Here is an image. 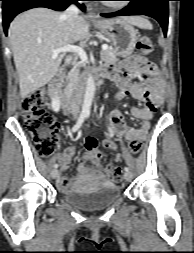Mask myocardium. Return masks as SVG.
Segmentation results:
<instances>
[{"label": "myocardium", "instance_id": "f54148a6", "mask_svg": "<svg viewBox=\"0 0 194 253\" xmlns=\"http://www.w3.org/2000/svg\"><path fill=\"white\" fill-rule=\"evenodd\" d=\"M106 6L115 10H121L127 6V2L125 0L109 2L106 4Z\"/></svg>", "mask_w": 194, "mask_h": 253}]
</instances>
